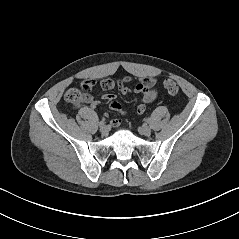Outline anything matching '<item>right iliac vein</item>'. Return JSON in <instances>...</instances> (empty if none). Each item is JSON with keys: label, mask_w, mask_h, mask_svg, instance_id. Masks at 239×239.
Segmentation results:
<instances>
[{"label": "right iliac vein", "mask_w": 239, "mask_h": 239, "mask_svg": "<svg viewBox=\"0 0 239 239\" xmlns=\"http://www.w3.org/2000/svg\"><path fill=\"white\" fill-rule=\"evenodd\" d=\"M108 126H106V125H102L101 127H100V132L102 133V134H107L108 133Z\"/></svg>", "instance_id": "right-iliac-vein-1"}]
</instances>
